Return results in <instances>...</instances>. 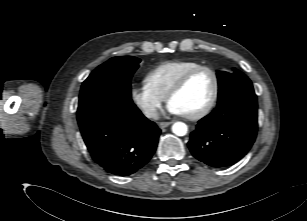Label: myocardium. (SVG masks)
<instances>
[{"label":"myocardium","instance_id":"1","mask_svg":"<svg viewBox=\"0 0 307 221\" xmlns=\"http://www.w3.org/2000/svg\"><path fill=\"white\" fill-rule=\"evenodd\" d=\"M201 70H206L211 73L214 82L213 92L209 102L201 110L190 115L182 114L184 118L189 120H198L205 117L212 111V109L216 105L220 92V79L218 72L213 67L208 65H199L188 70L174 83V85L171 87L165 97L167 103H170V100L185 87L190 78Z\"/></svg>","mask_w":307,"mask_h":221}]
</instances>
